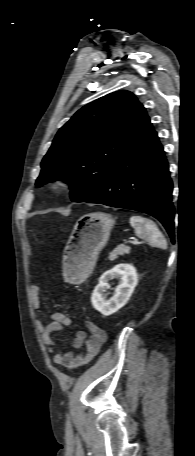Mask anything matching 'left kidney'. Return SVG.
I'll return each instance as SVG.
<instances>
[{"instance_id": "obj_1", "label": "left kidney", "mask_w": 195, "mask_h": 456, "mask_svg": "<svg viewBox=\"0 0 195 456\" xmlns=\"http://www.w3.org/2000/svg\"><path fill=\"white\" fill-rule=\"evenodd\" d=\"M116 278L119 281L113 296L107 299L106 292L110 289L109 281ZM138 283L136 268L130 264H118L106 271L95 287L91 302L93 307L104 316L112 315L121 309L131 297Z\"/></svg>"}]
</instances>
